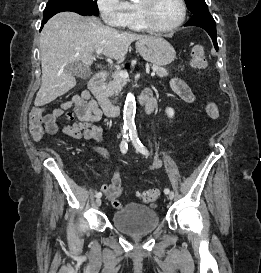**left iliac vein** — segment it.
I'll use <instances>...</instances> for the list:
<instances>
[{
  "instance_id": "obj_1",
  "label": "left iliac vein",
  "mask_w": 261,
  "mask_h": 273,
  "mask_svg": "<svg viewBox=\"0 0 261 273\" xmlns=\"http://www.w3.org/2000/svg\"><path fill=\"white\" fill-rule=\"evenodd\" d=\"M168 197H169V199H173L174 198V193L173 192L168 193Z\"/></svg>"
}]
</instances>
